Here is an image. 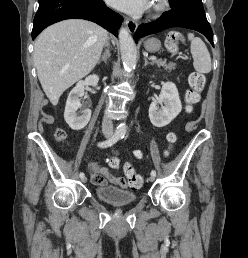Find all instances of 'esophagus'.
<instances>
[{
  "label": "esophagus",
  "mask_w": 248,
  "mask_h": 258,
  "mask_svg": "<svg viewBox=\"0 0 248 258\" xmlns=\"http://www.w3.org/2000/svg\"><path fill=\"white\" fill-rule=\"evenodd\" d=\"M124 24L130 33H134L137 29V23L130 19H125Z\"/></svg>",
  "instance_id": "1"
}]
</instances>
